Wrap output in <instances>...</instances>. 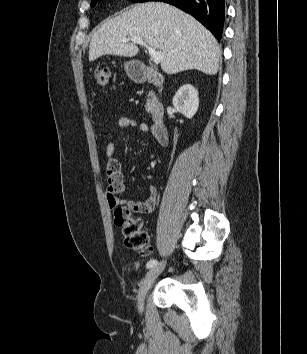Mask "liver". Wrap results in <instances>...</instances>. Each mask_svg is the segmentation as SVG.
Segmentation results:
<instances>
[{"instance_id":"liver-1","label":"liver","mask_w":307,"mask_h":354,"mask_svg":"<svg viewBox=\"0 0 307 354\" xmlns=\"http://www.w3.org/2000/svg\"><path fill=\"white\" fill-rule=\"evenodd\" d=\"M139 37L162 52L161 68L167 74L196 69L215 75L221 49L215 37L196 19L161 2L136 4L105 22L93 35L89 61L103 55L134 57L138 47L126 41Z\"/></svg>"}]
</instances>
